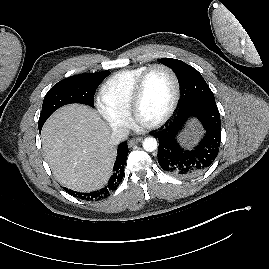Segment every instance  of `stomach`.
Returning <instances> with one entry per match:
<instances>
[{
    "instance_id": "1",
    "label": "stomach",
    "mask_w": 269,
    "mask_h": 269,
    "mask_svg": "<svg viewBox=\"0 0 269 269\" xmlns=\"http://www.w3.org/2000/svg\"><path fill=\"white\" fill-rule=\"evenodd\" d=\"M191 135H192L191 133H188V134L184 137L185 140L189 139Z\"/></svg>"
}]
</instances>
